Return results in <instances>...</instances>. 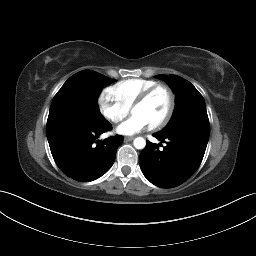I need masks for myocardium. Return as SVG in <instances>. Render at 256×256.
Returning a JSON list of instances; mask_svg holds the SVG:
<instances>
[{
	"mask_svg": "<svg viewBox=\"0 0 256 256\" xmlns=\"http://www.w3.org/2000/svg\"><path fill=\"white\" fill-rule=\"evenodd\" d=\"M158 90H164L167 93V95L169 97V106H168L167 112L163 116V118L160 119L158 122L150 125L151 129H160V128L164 127L171 119L174 109H175V104H176V98H175V94H174L173 90L165 84H157V85L152 86V87L148 88L147 90H145L135 100V102L132 105V109H133L136 106L146 103L149 100V98Z\"/></svg>",
	"mask_w": 256,
	"mask_h": 256,
	"instance_id": "1",
	"label": "myocardium"
}]
</instances>
